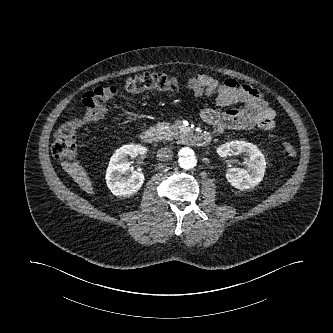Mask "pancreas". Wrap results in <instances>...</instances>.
<instances>
[{
	"instance_id": "obj_1",
	"label": "pancreas",
	"mask_w": 333,
	"mask_h": 333,
	"mask_svg": "<svg viewBox=\"0 0 333 333\" xmlns=\"http://www.w3.org/2000/svg\"><path fill=\"white\" fill-rule=\"evenodd\" d=\"M156 131L159 136L166 140H171L177 137L179 131L175 126L170 125L168 122H161L156 125Z\"/></svg>"
}]
</instances>
